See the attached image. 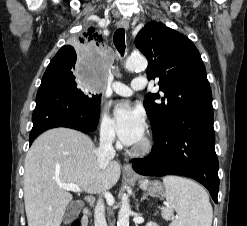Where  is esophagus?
Returning a JSON list of instances; mask_svg holds the SVG:
<instances>
[{"label":"esophagus","instance_id":"34e87169","mask_svg":"<svg viewBox=\"0 0 247 226\" xmlns=\"http://www.w3.org/2000/svg\"><path fill=\"white\" fill-rule=\"evenodd\" d=\"M117 27L128 29L129 22L125 19H121L117 22ZM124 171L129 175H135V172L132 169V166L129 163L124 164Z\"/></svg>","mask_w":247,"mask_h":226}]
</instances>
